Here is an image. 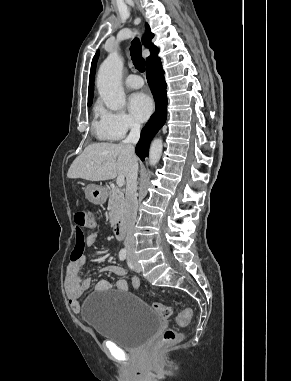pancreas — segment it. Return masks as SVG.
I'll list each match as a JSON object with an SVG mask.
<instances>
[{
	"mask_svg": "<svg viewBox=\"0 0 291 381\" xmlns=\"http://www.w3.org/2000/svg\"><path fill=\"white\" fill-rule=\"evenodd\" d=\"M125 205L124 193L117 187L110 190L108 209L111 225L114 226L121 218Z\"/></svg>",
	"mask_w": 291,
	"mask_h": 381,
	"instance_id": "pancreas-1",
	"label": "pancreas"
}]
</instances>
